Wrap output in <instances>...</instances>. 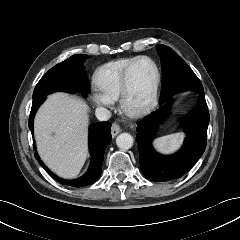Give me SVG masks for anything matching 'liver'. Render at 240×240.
I'll use <instances>...</instances> for the list:
<instances>
[{"mask_svg":"<svg viewBox=\"0 0 240 240\" xmlns=\"http://www.w3.org/2000/svg\"><path fill=\"white\" fill-rule=\"evenodd\" d=\"M88 106L82 99L54 93L38 110L35 139L45 164L63 178L76 177L87 157Z\"/></svg>","mask_w":240,"mask_h":240,"instance_id":"liver-1","label":"liver"}]
</instances>
